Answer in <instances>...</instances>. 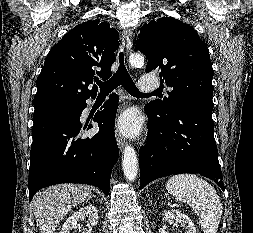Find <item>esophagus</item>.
<instances>
[{
	"label": "esophagus",
	"instance_id": "1",
	"mask_svg": "<svg viewBox=\"0 0 253 233\" xmlns=\"http://www.w3.org/2000/svg\"><path fill=\"white\" fill-rule=\"evenodd\" d=\"M132 35H133V31L131 29H124L122 32V41L126 47L127 53L132 47ZM116 141H117L118 147L122 150V148L125 145V141L123 140V138L118 132H116Z\"/></svg>",
	"mask_w": 253,
	"mask_h": 233
}]
</instances>
